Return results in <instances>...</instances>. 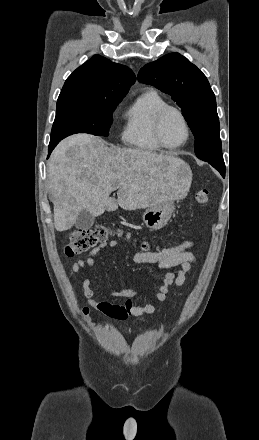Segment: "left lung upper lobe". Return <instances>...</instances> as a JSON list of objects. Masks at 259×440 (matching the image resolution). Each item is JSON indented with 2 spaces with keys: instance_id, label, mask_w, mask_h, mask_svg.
<instances>
[{
  "instance_id": "obj_1",
  "label": "left lung upper lobe",
  "mask_w": 259,
  "mask_h": 440,
  "mask_svg": "<svg viewBox=\"0 0 259 440\" xmlns=\"http://www.w3.org/2000/svg\"><path fill=\"white\" fill-rule=\"evenodd\" d=\"M138 80L172 96L194 134L197 157L213 167L223 166L216 99L206 76L175 52L146 64Z\"/></svg>"
}]
</instances>
